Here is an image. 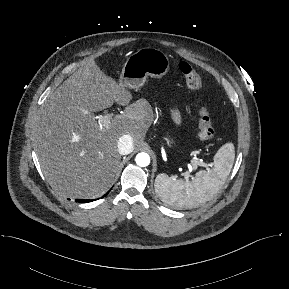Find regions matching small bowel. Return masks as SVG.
<instances>
[{
  "label": "small bowel",
  "mask_w": 289,
  "mask_h": 289,
  "mask_svg": "<svg viewBox=\"0 0 289 289\" xmlns=\"http://www.w3.org/2000/svg\"><path fill=\"white\" fill-rule=\"evenodd\" d=\"M174 119L176 120V122L179 121V115L176 111L174 112Z\"/></svg>",
  "instance_id": "1"
}]
</instances>
